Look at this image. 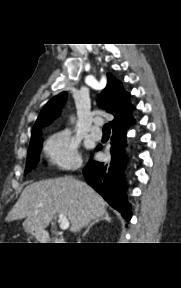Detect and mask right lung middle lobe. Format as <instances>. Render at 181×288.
I'll use <instances>...</instances> for the list:
<instances>
[{"label": "right lung middle lobe", "mask_w": 181, "mask_h": 288, "mask_svg": "<svg viewBox=\"0 0 181 288\" xmlns=\"http://www.w3.org/2000/svg\"><path fill=\"white\" fill-rule=\"evenodd\" d=\"M41 148H42V139L40 134L38 138H36L33 141H30L25 173L30 172L37 165L39 161Z\"/></svg>", "instance_id": "dd1d6c3e"}]
</instances>
